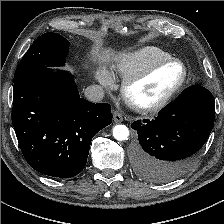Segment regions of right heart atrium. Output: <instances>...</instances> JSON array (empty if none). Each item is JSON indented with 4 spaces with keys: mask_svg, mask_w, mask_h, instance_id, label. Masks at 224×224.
<instances>
[{
    "mask_svg": "<svg viewBox=\"0 0 224 224\" xmlns=\"http://www.w3.org/2000/svg\"><path fill=\"white\" fill-rule=\"evenodd\" d=\"M96 79L103 86H110L113 83V77L108 71L104 69L97 72Z\"/></svg>",
    "mask_w": 224,
    "mask_h": 224,
    "instance_id": "obj_1",
    "label": "right heart atrium"
}]
</instances>
